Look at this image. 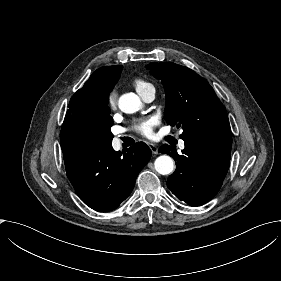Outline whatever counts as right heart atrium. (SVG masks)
Here are the masks:
<instances>
[{
  "instance_id": "right-heart-atrium-1",
  "label": "right heart atrium",
  "mask_w": 281,
  "mask_h": 281,
  "mask_svg": "<svg viewBox=\"0 0 281 281\" xmlns=\"http://www.w3.org/2000/svg\"><path fill=\"white\" fill-rule=\"evenodd\" d=\"M118 100V95L116 93V91H111L108 94V103L110 106H115Z\"/></svg>"
}]
</instances>
